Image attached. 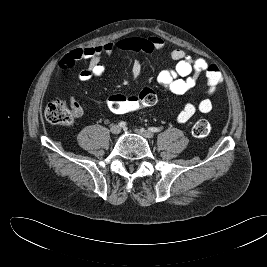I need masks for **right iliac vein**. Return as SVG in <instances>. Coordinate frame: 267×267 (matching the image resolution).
<instances>
[{
  "label": "right iliac vein",
  "instance_id": "1",
  "mask_svg": "<svg viewBox=\"0 0 267 267\" xmlns=\"http://www.w3.org/2000/svg\"><path fill=\"white\" fill-rule=\"evenodd\" d=\"M110 131H111L112 134H119L121 132V127L118 126V125H113L110 128Z\"/></svg>",
  "mask_w": 267,
  "mask_h": 267
}]
</instances>
